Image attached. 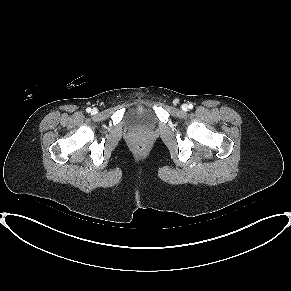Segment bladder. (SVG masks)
Instances as JSON below:
<instances>
[{
    "label": "bladder",
    "instance_id": "31cf9c89",
    "mask_svg": "<svg viewBox=\"0 0 291 291\" xmlns=\"http://www.w3.org/2000/svg\"><path fill=\"white\" fill-rule=\"evenodd\" d=\"M126 118L131 126H153L157 121L155 111L151 107L143 105L129 109Z\"/></svg>",
    "mask_w": 291,
    "mask_h": 291
}]
</instances>
